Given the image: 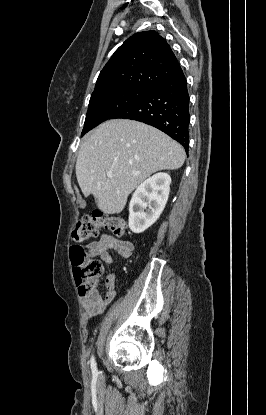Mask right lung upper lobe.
Wrapping results in <instances>:
<instances>
[{"instance_id": "cb5924a9", "label": "right lung upper lobe", "mask_w": 266, "mask_h": 415, "mask_svg": "<svg viewBox=\"0 0 266 415\" xmlns=\"http://www.w3.org/2000/svg\"><path fill=\"white\" fill-rule=\"evenodd\" d=\"M183 71L166 40L155 31L138 32L112 55L92 94L117 89L151 90Z\"/></svg>"}]
</instances>
